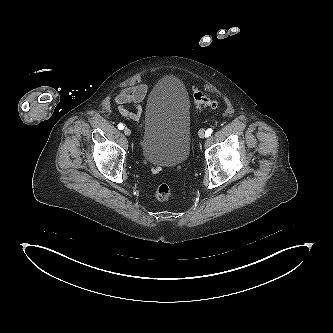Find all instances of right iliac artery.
Instances as JSON below:
<instances>
[{"label": "right iliac artery", "instance_id": "right-iliac-artery-1", "mask_svg": "<svg viewBox=\"0 0 333 333\" xmlns=\"http://www.w3.org/2000/svg\"><path fill=\"white\" fill-rule=\"evenodd\" d=\"M124 127H125L124 124H122V123L118 124V129H119V130H123Z\"/></svg>", "mask_w": 333, "mask_h": 333}]
</instances>
